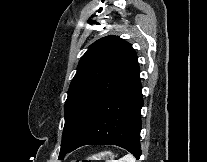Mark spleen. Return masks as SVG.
I'll list each match as a JSON object with an SVG mask.
<instances>
[{
    "label": "spleen",
    "instance_id": "1",
    "mask_svg": "<svg viewBox=\"0 0 207 162\" xmlns=\"http://www.w3.org/2000/svg\"><path fill=\"white\" fill-rule=\"evenodd\" d=\"M109 162H136V159L133 155L127 154L123 156L122 158H120L119 160H113Z\"/></svg>",
    "mask_w": 207,
    "mask_h": 162
}]
</instances>
